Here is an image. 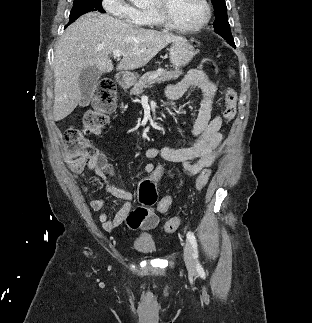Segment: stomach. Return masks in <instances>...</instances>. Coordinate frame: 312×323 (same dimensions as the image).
<instances>
[{"label":"stomach","instance_id":"0dacf381","mask_svg":"<svg viewBox=\"0 0 312 323\" xmlns=\"http://www.w3.org/2000/svg\"><path fill=\"white\" fill-rule=\"evenodd\" d=\"M197 54L194 46L187 42L185 38H181L178 42H172L169 48V58L172 66L175 68H182V66H187ZM124 82L126 84H135L137 78L134 74H124Z\"/></svg>","mask_w":312,"mask_h":323}]
</instances>
